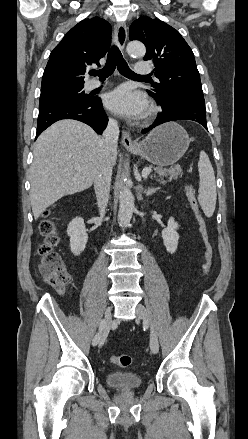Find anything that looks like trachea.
<instances>
[{"mask_svg":"<svg viewBox=\"0 0 248 439\" xmlns=\"http://www.w3.org/2000/svg\"><path fill=\"white\" fill-rule=\"evenodd\" d=\"M116 67L120 74L125 77H148L135 74L129 68L117 46H112L110 48L105 66L100 70H92L90 75L99 76L101 80H104L114 72Z\"/></svg>","mask_w":248,"mask_h":439,"instance_id":"1","label":"trachea"}]
</instances>
